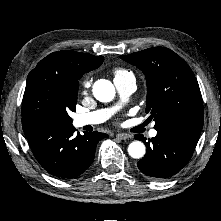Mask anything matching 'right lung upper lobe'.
I'll use <instances>...</instances> for the list:
<instances>
[{
	"label": "right lung upper lobe",
	"instance_id": "1",
	"mask_svg": "<svg viewBox=\"0 0 221 221\" xmlns=\"http://www.w3.org/2000/svg\"><path fill=\"white\" fill-rule=\"evenodd\" d=\"M103 56H93L75 51H58L42 59L28 77L49 76L66 83L68 91L78 92V80L86 72L98 68L103 63Z\"/></svg>",
	"mask_w": 221,
	"mask_h": 221
}]
</instances>
